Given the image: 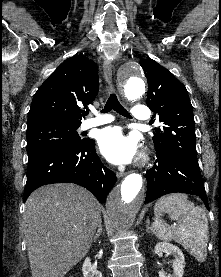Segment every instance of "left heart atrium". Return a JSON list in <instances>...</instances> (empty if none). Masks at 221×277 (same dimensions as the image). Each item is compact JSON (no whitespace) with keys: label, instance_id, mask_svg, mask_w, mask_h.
<instances>
[{"label":"left heart atrium","instance_id":"1","mask_svg":"<svg viewBox=\"0 0 221 277\" xmlns=\"http://www.w3.org/2000/svg\"><path fill=\"white\" fill-rule=\"evenodd\" d=\"M98 145L103 156L111 163L131 162L138 153V141L126 135L120 127H108L99 132Z\"/></svg>","mask_w":221,"mask_h":277}]
</instances>
